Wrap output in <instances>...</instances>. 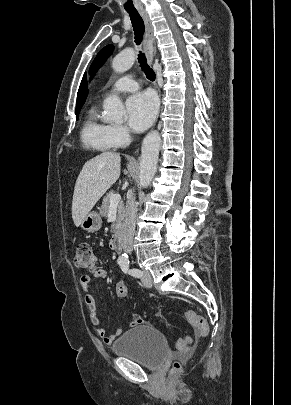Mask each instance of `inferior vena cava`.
<instances>
[{"mask_svg": "<svg viewBox=\"0 0 291 405\" xmlns=\"http://www.w3.org/2000/svg\"><path fill=\"white\" fill-rule=\"evenodd\" d=\"M137 214V203L135 196H131L126 202L125 221L122 227V246L123 250L131 254L133 251V237L135 233V223Z\"/></svg>", "mask_w": 291, "mask_h": 405, "instance_id": "602c4592", "label": "inferior vena cava"}]
</instances>
